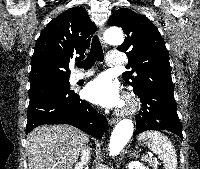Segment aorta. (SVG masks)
Listing matches in <instances>:
<instances>
[{"label":"aorta","instance_id":"aorta-1","mask_svg":"<svg viewBox=\"0 0 200 169\" xmlns=\"http://www.w3.org/2000/svg\"><path fill=\"white\" fill-rule=\"evenodd\" d=\"M104 39L106 43L114 46H119L124 41L123 33L119 29L107 30ZM133 131L134 124L130 119H123L115 126L109 142L110 155L116 156L122 151L130 140Z\"/></svg>","mask_w":200,"mask_h":169}]
</instances>
